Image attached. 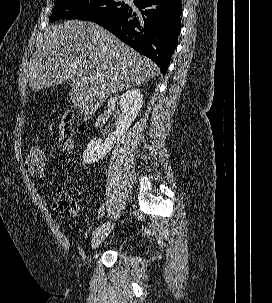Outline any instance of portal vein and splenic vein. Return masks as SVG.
<instances>
[{
  "instance_id": "obj_1",
  "label": "portal vein and splenic vein",
  "mask_w": 272,
  "mask_h": 303,
  "mask_svg": "<svg viewBox=\"0 0 272 303\" xmlns=\"http://www.w3.org/2000/svg\"><path fill=\"white\" fill-rule=\"evenodd\" d=\"M92 79L93 80H98V77H93ZM80 81L85 83V82H87V78L83 77V78H81Z\"/></svg>"
}]
</instances>
